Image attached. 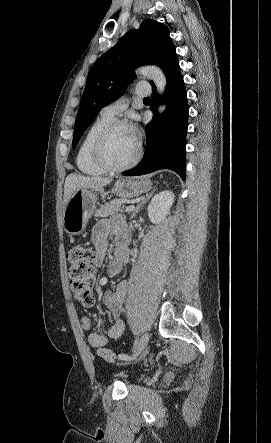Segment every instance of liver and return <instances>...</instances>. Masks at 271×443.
Here are the masks:
<instances>
[{
	"label": "liver",
	"mask_w": 271,
	"mask_h": 443,
	"mask_svg": "<svg viewBox=\"0 0 271 443\" xmlns=\"http://www.w3.org/2000/svg\"><path fill=\"white\" fill-rule=\"evenodd\" d=\"M112 182V178H85L78 174H69L64 184L63 208H65L69 198L74 194L75 190H88V188H103Z\"/></svg>",
	"instance_id": "1"
}]
</instances>
